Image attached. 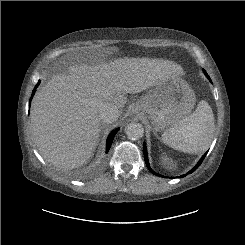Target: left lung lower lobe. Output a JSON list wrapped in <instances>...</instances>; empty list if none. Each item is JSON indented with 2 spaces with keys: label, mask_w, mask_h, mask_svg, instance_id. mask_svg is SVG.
Instances as JSON below:
<instances>
[{
  "label": "left lung lower lobe",
  "mask_w": 245,
  "mask_h": 245,
  "mask_svg": "<svg viewBox=\"0 0 245 245\" xmlns=\"http://www.w3.org/2000/svg\"><path fill=\"white\" fill-rule=\"evenodd\" d=\"M204 73H205V75L208 77V79L211 81L210 77L207 75V73H206L205 70H204ZM143 153H144V159H145L146 166H147V168L150 170V172L153 173V174L156 175V176H161V175H159L158 173L154 172V171L150 168V166H149L148 155H147V149H146L145 143H144V145H143ZM206 154H207V152L201 157V159H200L199 162L196 164V166H194V167L192 168V170H190V171L188 172L189 174H191L192 172H194V171L200 166V164H201L202 161L204 160ZM185 176H186V174H184V175H182V176H180V177H185Z\"/></svg>",
  "instance_id": "obj_1"
}]
</instances>
